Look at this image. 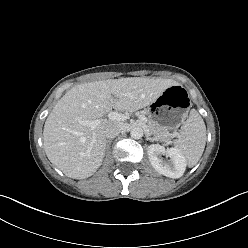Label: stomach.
Listing matches in <instances>:
<instances>
[{"label":"stomach","mask_w":248,"mask_h":248,"mask_svg":"<svg viewBox=\"0 0 248 248\" xmlns=\"http://www.w3.org/2000/svg\"><path fill=\"white\" fill-rule=\"evenodd\" d=\"M191 102L188 92L180 84L168 87L149 105L148 118L170 131L177 130L184 124Z\"/></svg>","instance_id":"0dacf381"}]
</instances>
